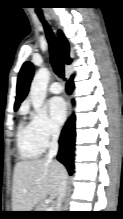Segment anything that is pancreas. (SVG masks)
I'll return each instance as SVG.
<instances>
[{"instance_id": "1", "label": "pancreas", "mask_w": 123, "mask_h": 219, "mask_svg": "<svg viewBox=\"0 0 123 219\" xmlns=\"http://www.w3.org/2000/svg\"><path fill=\"white\" fill-rule=\"evenodd\" d=\"M46 204L43 203V202H40L37 206H36V209L35 211H46Z\"/></svg>"}]
</instances>
